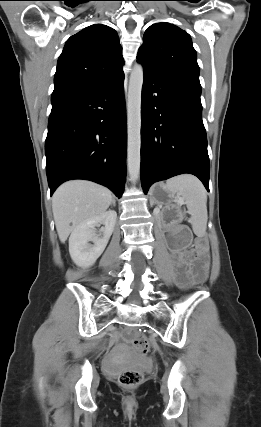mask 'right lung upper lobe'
I'll return each instance as SVG.
<instances>
[{"mask_svg":"<svg viewBox=\"0 0 261 427\" xmlns=\"http://www.w3.org/2000/svg\"><path fill=\"white\" fill-rule=\"evenodd\" d=\"M117 32L91 25L71 36L58 59L51 102L86 92L124 75Z\"/></svg>","mask_w":261,"mask_h":427,"instance_id":"1","label":"right lung upper lobe"}]
</instances>
